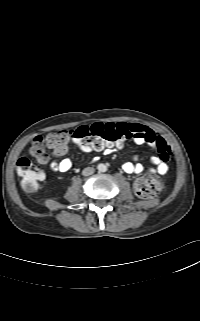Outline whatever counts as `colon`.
I'll return each instance as SVG.
<instances>
[{"instance_id":"obj_1","label":"colon","mask_w":200,"mask_h":321,"mask_svg":"<svg viewBox=\"0 0 200 321\" xmlns=\"http://www.w3.org/2000/svg\"><path fill=\"white\" fill-rule=\"evenodd\" d=\"M130 133L123 127L114 128L103 124L83 125L69 132L59 131L34 139L30 148L33 159L22 157L16 163L22 186L27 192H34L44 173L40 164L49 158V152L57 153L63 150L69 139L75 141L85 150H100L108 144L123 147ZM164 190V182L157 176L147 175L138 178L134 183V191L140 198L157 197Z\"/></svg>"}]
</instances>
